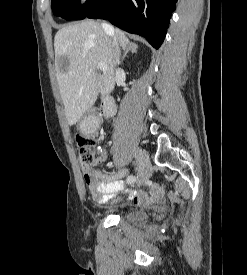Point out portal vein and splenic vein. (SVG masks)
<instances>
[{
    "instance_id": "1",
    "label": "portal vein and splenic vein",
    "mask_w": 247,
    "mask_h": 275,
    "mask_svg": "<svg viewBox=\"0 0 247 275\" xmlns=\"http://www.w3.org/2000/svg\"><path fill=\"white\" fill-rule=\"evenodd\" d=\"M97 69L101 70L102 72H105L107 70V65L103 62H100L97 66Z\"/></svg>"
}]
</instances>
